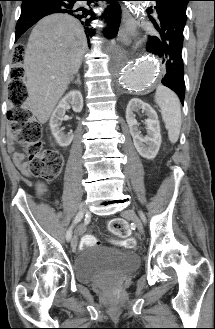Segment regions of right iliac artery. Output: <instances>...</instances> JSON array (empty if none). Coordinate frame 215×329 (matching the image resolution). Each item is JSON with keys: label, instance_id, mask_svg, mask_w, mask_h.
Wrapping results in <instances>:
<instances>
[{"label": "right iliac artery", "instance_id": "obj_1", "mask_svg": "<svg viewBox=\"0 0 215 329\" xmlns=\"http://www.w3.org/2000/svg\"><path fill=\"white\" fill-rule=\"evenodd\" d=\"M82 214L78 213L72 223V225L70 226V228L68 229L67 233H66V240L70 241L71 237H72V229L74 227L75 224H77L81 219H82Z\"/></svg>", "mask_w": 215, "mask_h": 329}]
</instances>
